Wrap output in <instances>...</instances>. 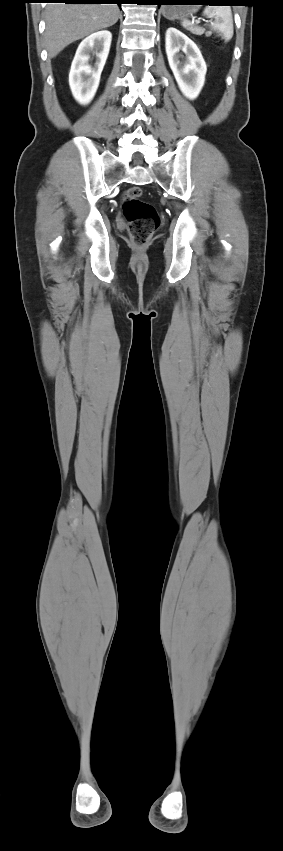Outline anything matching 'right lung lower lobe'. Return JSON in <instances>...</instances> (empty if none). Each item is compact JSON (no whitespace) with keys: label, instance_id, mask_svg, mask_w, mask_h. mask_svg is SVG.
Returning <instances> with one entry per match:
<instances>
[{"label":"right lung lower lobe","instance_id":"98d812e1","mask_svg":"<svg viewBox=\"0 0 283 851\" xmlns=\"http://www.w3.org/2000/svg\"><path fill=\"white\" fill-rule=\"evenodd\" d=\"M53 3L66 4H122L127 0H46Z\"/></svg>","mask_w":283,"mask_h":851}]
</instances>
